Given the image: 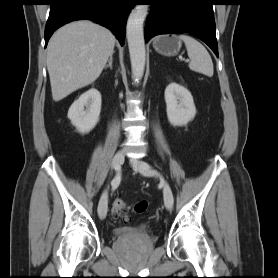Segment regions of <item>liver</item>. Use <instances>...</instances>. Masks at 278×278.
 <instances>
[{"mask_svg": "<svg viewBox=\"0 0 278 278\" xmlns=\"http://www.w3.org/2000/svg\"><path fill=\"white\" fill-rule=\"evenodd\" d=\"M115 36L91 21H75L58 29L47 47L52 97L60 101L93 83L114 52Z\"/></svg>", "mask_w": 278, "mask_h": 278, "instance_id": "6515ba94", "label": "liver"}]
</instances>
